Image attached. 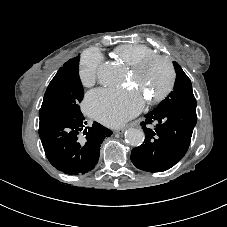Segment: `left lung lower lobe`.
Segmentation results:
<instances>
[{
	"label": "left lung lower lobe",
	"mask_w": 227,
	"mask_h": 227,
	"mask_svg": "<svg viewBox=\"0 0 227 227\" xmlns=\"http://www.w3.org/2000/svg\"><path fill=\"white\" fill-rule=\"evenodd\" d=\"M156 123L154 127L152 123ZM196 112L173 108L153 110L141 122L145 132L144 143L131 152L132 163L141 170L163 172L173 167L187 152Z\"/></svg>",
	"instance_id": "1"
}]
</instances>
